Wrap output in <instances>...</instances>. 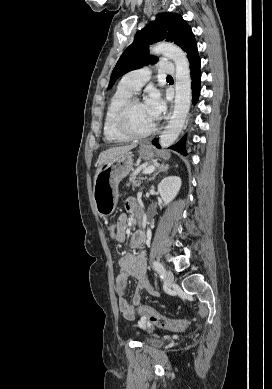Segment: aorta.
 <instances>
[{
	"mask_svg": "<svg viewBox=\"0 0 272 389\" xmlns=\"http://www.w3.org/2000/svg\"><path fill=\"white\" fill-rule=\"evenodd\" d=\"M152 54H163L175 63V106L172 117L162 132L159 143L162 147L173 144L186 122L191 104V77L186 53L172 43H158L151 48Z\"/></svg>",
	"mask_w": 272,
	"mask_h": 389,
	"instance_id": "1",
	"label": "aorta"
}]
</instances>
